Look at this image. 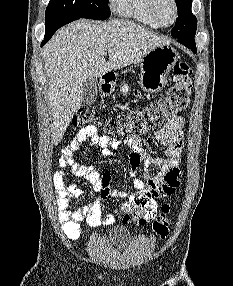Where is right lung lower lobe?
I'll use <instances>...</instances> for the list:
<instances>
[{
  "mask_svg": "<svg viewBox=\"0 0 233 286\" xmlns=\"http://www.w3.org/2000/svg\"><path fill=\"white\" fill-rule=\"evenodd\" d=\"M77 20L74 17H62L59 18L49 24H46V32H45V37L44 40L41 43V46H43L52 36L53 34L62 26Z\"/></svg>",
  "mask_w": 233,
  "mask_h": 286,
  "instance_id": "obj_1",
  "label": "right lung lower lobe"
}]
</instances>
